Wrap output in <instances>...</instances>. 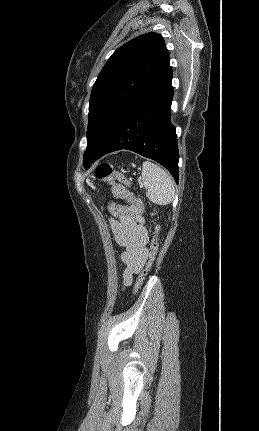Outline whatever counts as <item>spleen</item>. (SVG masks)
Returning <instances> with one entry per match:
<instances>
[{"label":"spleen","instance_id":"1","mask_svg":"<svg viewBox=\"0 0 259 431\" xmlns=\"http://www.w3.org/2000/svg\"><path fill=\"white\" fill-rule=\"evenodd\" d=\"M142 180L147 198L158 205L169 204L174 197L171 177L160 166L150 161L142 164Z\"/></svg>","mask_w":259,"mask_h":431}]
</instances>
